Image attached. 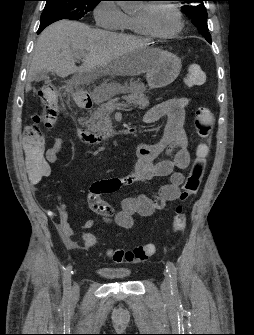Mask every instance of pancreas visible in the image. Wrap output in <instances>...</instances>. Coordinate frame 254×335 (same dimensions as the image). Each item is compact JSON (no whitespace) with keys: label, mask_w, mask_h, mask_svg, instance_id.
<instances>
[{"label":"pancreas","mask_w":254,"mask_h":335,"mask_svg":"<svg viewBox=\"0 0 254 335\" xmlns=\"http://www.w3.org/2000/svg\"><path fill=\"white\" fill-rule=\"evenodd\" d=\"M116 86L105 88L100 91L103 100H108L106 103H100L99 107L93 111L89 119L88 128L92 132H103L112 126L110 113L116 108V100L112 99L113 96L118 94V91L113 90ZM123 99L139 109H145L149 106L148 97L143 93L140 85H131L128 90V95L123 96Z\"/></svg>","instance_id":"obj_1"}]
</instances>
